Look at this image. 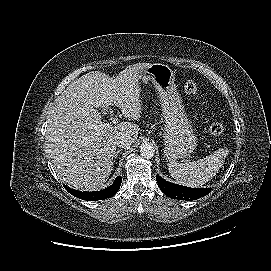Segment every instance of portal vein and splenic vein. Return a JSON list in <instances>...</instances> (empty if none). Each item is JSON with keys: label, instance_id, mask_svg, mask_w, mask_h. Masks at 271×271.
Masks as SVG:
<instances>
[{"label": "portal vein and splenic vein", "instance_id": "18ae733b", "mask_svg": "<svg viewBox=\"0 0 271 271\" xmlns=\"http://www.w3.org/2000/svg\"><path fill=\"white\" fill-rule=\"evenodd\" d=\"M112 123L117 124L118 123V118L117 117L112 118ZM111 127H112L111 123H103V122H101L99 125H95L93 129L95 130V132L98 133L100 131L107 130V129L111 128Z\"/></svg>", "mask_w": 271, "mask_h": 271}]
</instances>
